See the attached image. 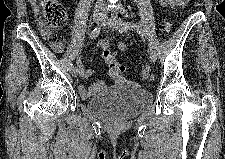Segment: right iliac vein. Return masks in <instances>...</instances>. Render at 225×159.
I'll return each instance as SVG.
<instances>
[{
    "label": "right iliac vein",
    "instance_id": "right-iliac-vein-1",
    "mask_svg": "<svg viewBox=\"0 0 225 159\" xmlns=\"http://www.w3.org/2000/svg\"><path fill=\"white\" fill-rule=\"evenodd\" d=\"M102 19H103L102 11L99 10V9L94 10V13H93V21H94V23L100 24ZM79 72H80V70H79L78 67H73L72 70H71V74H72L73 77H77Z\"/></svg>",
    "mask_w": 225,
    "mask_h": 159
}]
</instances>
